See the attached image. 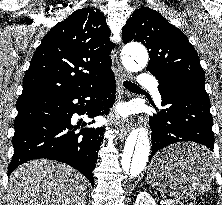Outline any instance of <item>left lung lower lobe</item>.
I'll return each instance as SVG.
<instances>
[{
  "label": "left lung lower lobe",
  "instance_id": "obj_1",
  "mask_svg": "<svg viewBox=\"0 0 222 205\" xmlns=\"http://www.w3.org/2000/svg\"><path fill=\"white\" fill-rule=\"evenodd\" d=\"M158 90L165 107L150 117L152 152L177 142H196L206 146L203 152H191L185 162L200 165L211 164L213 151V118L210 114V100L206 91L167 78H158Z\"/></svg>",
  "mask_w": 222,
  "mask_h": 205
}]
</instances>
